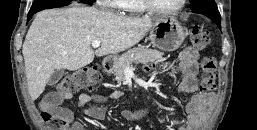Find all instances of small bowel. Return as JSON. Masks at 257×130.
I'll list each match as a JSON object with an SVG mask.
<instances>
[{"label":"small bowel","mask_w":257,"mask_h":130,"mask_svg":"<svg viewBox=\"0 0 257 130\" xmlns=\"http://www.w3.org/2000/svg\"><path fill=\"white\" fill-rule=\"evenodd\" d=\"M198 59L199 53L193 47L184 48L178 56V65L182 73V79L178 89L182 93L192 94L186 106V123L178 130H198L206 117L209 105L212 101V95L198 91ZM154 67V64L148 65V69H153ZM122 94L121 91H114L110 94H81L78 97L77 104L86 116L102 121L105 120L107 114V109L104 105L111 99L120 98ZM69 97H63L58 93L50 92L43 96L40 107L43 111L48 110L65 115L70 123L69 130H86L84 125L74 117L70 110L59 107L61 101ZM91 102L96 105L89 106ZM146 114V109L136 111L126 110L123 112V116L130 121H139L144 118Z\"/></svg>","instance_id":"1"}]
</instances>
